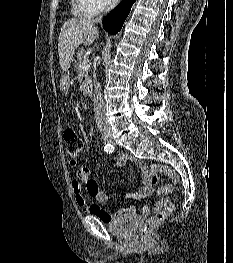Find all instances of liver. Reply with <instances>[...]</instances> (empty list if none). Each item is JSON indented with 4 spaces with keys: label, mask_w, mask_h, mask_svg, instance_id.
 I'll return each instance as SVG.
<instances>
[{
    "label": "liver",
    "mask_w": 233,
    "mask_h": 263,
    "mask_svg": "<svg viewBox=\"0 0 233 263\" xmlns=\"http://www.w3.org/2000/svg\"><path fill=\"white\" fill-rule=\"evenodd\" d=\"M98 36L95 22L91 19L72 18L63 24L58 38V53L64 72L70 68L75 49L82 43L91 45Z\"/></svg>",
    "instance_id": "1"
}]
</instances>
